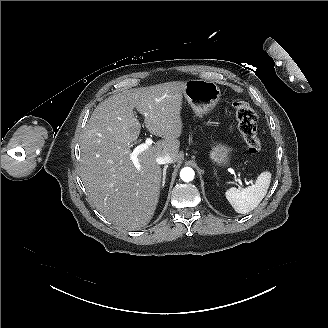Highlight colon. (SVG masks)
I'll list each match as a JSON object with an SVG mask.
<instances>
[{"label": "colon", "instance_id": "1", "mask_svg": "<svg viewBox=\"0 0 328 328\" xmlns=\"http://www.w3.org/2000/svg\"><path fill=\"white\" fill-rule=\"evenodd\" d=\"M235 110L238 129L252 154L262 151V144L257 133V114L249 103L235 100L232 103Z\"/></svg>", "mask_w": 328, "mask_h": 328}]
</instances>
